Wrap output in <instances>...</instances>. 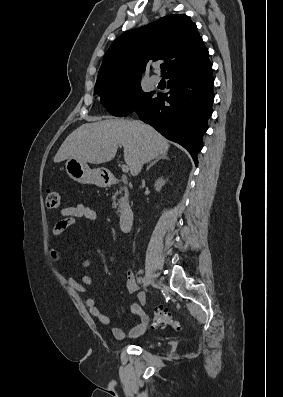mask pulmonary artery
I'll return each instance as SVG.
<instances>
[{
	"label": "pulmonary artery",
	"instance_id": "obj_1",
	"mask_svg": "<svg viewBox=\"0 0 283 397\" xmlns=\"http://www.w3.org/2000/svg\"><path fill=\"white\" fill-rule=\"evenodd\" d=\"M150 80L154 85H157L160 83L161 78L158 75H153Z\"/></svg>",
	"mask_w": 283,
	"mask_h": 397
}]
</instances>
